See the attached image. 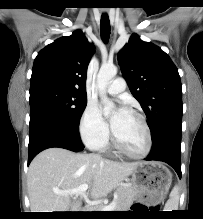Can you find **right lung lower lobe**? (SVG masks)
I'll return each instance as SVG.
<instances>
[{
  "label": "right lung lower lobe",
  "mask_w": 203,
  "mask_h": 219,
  "mask_svg": "<svg viewBox=\"0 0 203 219\" xmlns=\"http://www.w3.org/2000/svg\"><path fill=\"white\" fill-rule=\"evenodd\" d=\"M29 126L28 164L39 152L47 148L59 147L71 151H81L84 148L78 130L54 125L40 117L30 118Z\"/></svg>",
  "instance_id": "1"
}]
</instances>
